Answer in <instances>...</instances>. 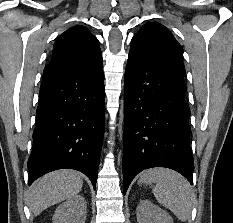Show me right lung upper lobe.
I'll list each match as a JSON object with an SVG mask.
<instances>
[{
    "instance_id": "obj_1",
    "label": "right lung upper lobe",
    "mask_w": 233,
    "mask_h": 223,
    "mask_svg": "<svg viewBox=\"0 0 233 223\" xmlns=\"http://www.w3.org/2000/svg\"><path fill=\"white\" fill-rule=\"evenodd\" d=\"M102 65L98 39L85 26H75L58 38L52 59L45 67L42 80L87 71Z\"/></svg>"
}]
</instances>
